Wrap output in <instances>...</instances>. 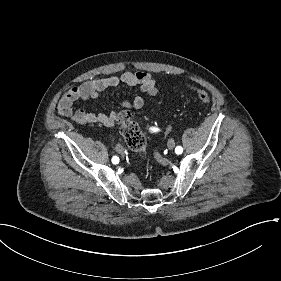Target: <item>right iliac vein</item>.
Wrapping results in <instances>:
<instances>
[{
    "label": "right iliac vein",
    "instance_id": "63e3f726",
    "mask_svg": "<svg viewBox=\"0 0 281 281\" xmlns=\"http://www.w3.org/2000/svg\"><path fill=\"white\" fill-rule=\"evenodd\" d=\"M115 149L118 153H123V151H124L123 147L120 144H117Z\"/></svg>",
    "mask_w": 281,
    "mask_h": 281
}]
</instances>
